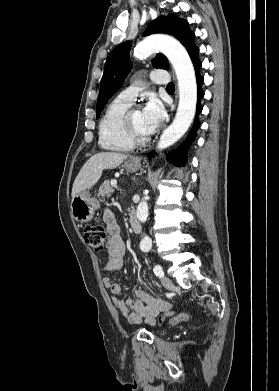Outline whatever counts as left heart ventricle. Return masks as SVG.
Instances as JSON below:
<instances>
[{
  "mask_svg": "<svg viewBox=\"0 0 279 391\" xmlns=\"http://www.w3.org/2000/svg\"><path fill=\"white\" fill-rule=\"evenodd\" d=\"M132 120H133L134 126L139 134H141V135H149L150 134L145 126L143 114L140 109H137L133 112Z\"/></svg>",
  "mask_w": 279,
  "mask_h": 391,
  "instance_id": "1",
  "label": "left heart ventricle"
}]
</instances>
